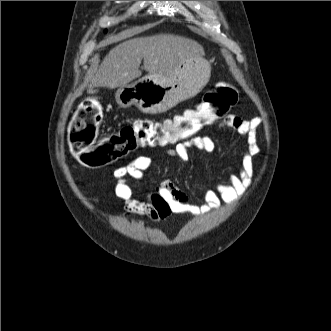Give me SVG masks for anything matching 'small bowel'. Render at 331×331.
Masks as SVG:
<instances>
[{
	"mask_svg": "<svg viewBox=\"0 0 331 331\" xmlns=\"http://www.w3.org/2000/svg\"><path fill=\"white\" fill-rule=\"evenodd\" d=\"M261 122L260 117L247 120L234 114L226 116L223 125L232 127L241 134L246 140L247 148L238 161L237 173L229 174L227 181L215 182L212 188L202 192V205L189 203L187 194L169 180L157 185L146 199L135 198L131 179H141L144 172L152 166V160L147 156H138L129 164L116 168L113 173L114 189L116 196L124 202L125 217L146 216L153 222L164 221L172 215L198 217L218 208L222 202L230 203L237 200L251 183L252 159L260 151L257 130ZM215 147L211 137L201 135L179 142L175 148L168 150L167 154L185 162L189 158L191 148L211 153Z\"/></svg>",
	"mask_w": 331,
	"mask_h": 331,
	"instance_id": "c3829d8e",
	"label": "small bowel"
}]
</instances>
